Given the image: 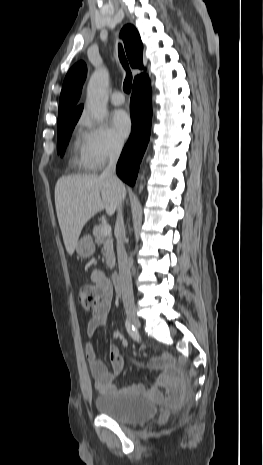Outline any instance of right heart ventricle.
Here are the masks:
<instances>
[{"mask_svg": "<svg viewBox=\"0 0 263 465\" xmlns=\"http://www.w3.org/2000/svg\"><path fill=\"white\" fill-rule=\"evenodd\" d=\"M72 151H73V158H72L73 163L77 166L90 169L83 155V141L80 135H76V138L72 144Z\"/></svg>", "mask_w": 263, "mask_h": 465, "instance_id": "1", "label": "right heart ventricle"}]
</instances>
